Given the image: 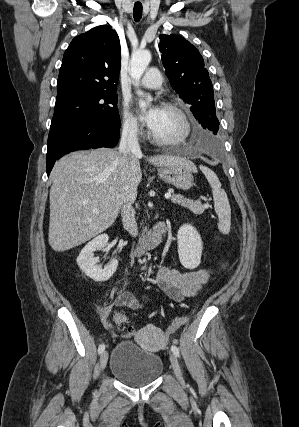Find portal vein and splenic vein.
Returning a JSON list of instances; mask_svg holds the SVG:
<instances>
[{"label": "portal vein and splenic vein", "instance_id": "1", "mask_svg": "<svg viewBox=\"0 0 299 427\" xmlns=\"http://www.w3.org/2000/svg\"><path fill=\"white\" fill-rule=\"evenodd\" d=\"M165 198H166V199H170V198H171V194H170V193L165 194Z\"/></svg>", "mask_w": 299, "mask_h": 427}]
</instances>
